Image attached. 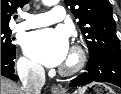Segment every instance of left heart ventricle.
Instances as JSON below:
<instances>
[{"label": "left heart ventricle", "mask_w": 121, "mask_h": 94, "mask_svg": "<svg viewBox=\"0 0 121 94\" xmlns=\"http://www.w3.org/2000/svg\"><path fill=\"white\" fill-rule=\"evenodd\" d=\"M71 60H72L71 53H69L66 60H65V62L63 63V65H66V64L70 63Z\"/></svg>", "instance_id": "b2bd125f"}]
</instances>
